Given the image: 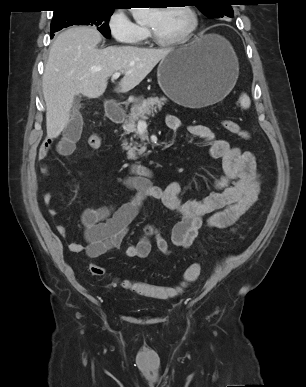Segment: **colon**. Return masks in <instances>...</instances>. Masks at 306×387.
Listing matches in <instances>:
<instances>
[{"mask_svg": "<svg viewBox=\"0 0 306 387\" xmlns=\"http://www.w3.org/2000/svg\"><path fill=\"white\" fill-rule=\"evenodd\" d=\"M221 125L226 131L240 138L248 139L250 137L249 133L242 129L240 125L233 120L224 119L221 121ZM87 143L89 147L99 149L102 145V139L99 134L93 133L88 137ZM90 271L94 276L101 277L105 275V269L97 264L91 265ZM201 271L202 267L199 262L190 264L185 269L182 281L178 286H159L145 281H135L130 279L117 280L116 284L140 296L155 299H168L177 296L184 288L195 282L200 276Z\"/></svg>", "mask_w": 306, "mask_h": 387, "instance_id": "obj_1", "label": "colon"}]
</instances>
